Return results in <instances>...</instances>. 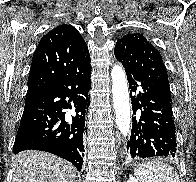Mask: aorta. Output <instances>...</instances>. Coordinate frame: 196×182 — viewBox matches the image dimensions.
I'll return each mask as SVG.
<instances>
[{
	"instance_id": "obj_1",
	"label": "aorta",
	"mask_w": 196,
	"mask_h": 182,
	"mask_svg": "<svg viewBox=\"0 0 196 182\" xmlns=\"http://www.w3.org/2000/svg\"><path fill=\"white\" fill-rule=\"evenodd\" d=\"M113 105L115 122L119 131L125 137L130 132V103L126 74L121 65H115L111 70Z\"/></svg>"
}]
</instances>
